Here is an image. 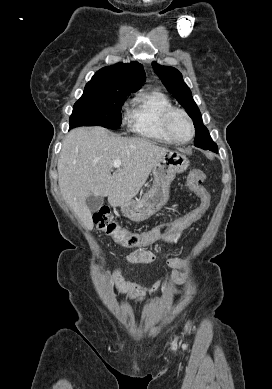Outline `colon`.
Instances as JSON below:
<instances>
[{
  "instance_id": "1",
  "label": "colon",
  "mask_w": 272,
  "mask_h": 389,
  "mask_svg": "<svg viewBox=\"0 0 272 389\" xmlns=\"http://www.w3.org/2000/svg\"><path fill=\"white\" fill-rule=\"evenodd\" d=\"M205 178V173L199 169L191 170L187 177L188 188L197 195L200 201L196 208L147 231L128 232L121 229L108 207H102L95 212L93 221L100 230L112 236L117 242L126 247L151 245L160 240L162 236L183 232L203 217L210 205L209 193L202 185Z\"/></svg>"
}]
</instances>
